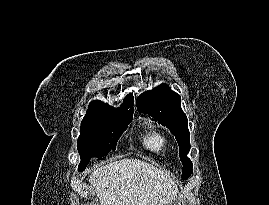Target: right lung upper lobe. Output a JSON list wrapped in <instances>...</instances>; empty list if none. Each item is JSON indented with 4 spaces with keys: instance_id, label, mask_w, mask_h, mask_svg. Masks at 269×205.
<instances>
[{
    "instance_id": "1",
    "label": "right lung upper lobe",
    "mask_w": 269,
    "mask_h": 205,
    "mask_svg": "<svg viewBox=\"0 0 269 205\" xmlns=\"http://www.w3.org/2000/svg\"><path fill=\"white\" fill-rule=\"evenodd\" d=\"M133 96L127 95L122 105L115 109L100 101H93L90 103L89 108L84 118H120L133 116Z\"/></svg>"
}]
</instances>
